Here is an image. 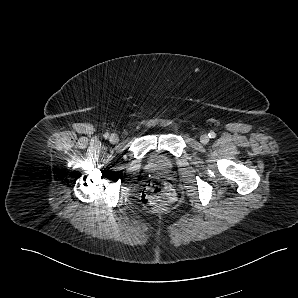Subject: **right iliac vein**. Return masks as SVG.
Here are the masks:
<instances>
[{
    "label": "right iliac vein",
    "mask_w": 298,
    "mask_h": 298,
    "mask_svg": "<svg viewBox=\"0 0 298 298\" xmlns=\"http://www.w3.org/2000/svg\"><path fill=\"white\" fill-rule=\"evenodd\" d=\"M109 141L111 143H114V144L118 143V141H119L118 135L117 134H111L110 137H109Z\"/></svg>",
    "instance_id": "obj_1"
}]
</instances>
